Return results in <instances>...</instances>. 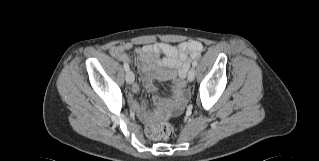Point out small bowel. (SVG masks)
I'll use <instances>...</instances> for the list:
<instances>
[{
    "label": "small bowel",
    "instance_id": "obj_1",
    "mask_svg": "<svg viewBox=\"0 0 319 161\" xmlns=\"http://www.w3.org/2000/svg\"><path fill=\"white\" fill-rule=\"evenodd\" d=\"M132 48L133 44L126 42L111 47L109 53L112 57L128 63L132 62V59L127 55L126 51ZM203 49V44L195 40L185 41L178 45L156 42L137 47V66L143 75V83L147 91L152 93L155 90L154 80L174 79L173 97L167 104L175 113H178L188 99L185 76L190 61L198 58ZM161 55L165 57L161 58ZM139 90V85L134 83L132 91L137 93ZM129 104L141 120L147 121L153 117V113L138 104L135 98L129 97ZM152 104L160 106L163 104V100L155 97Z\"/></svg>",
    "mask_w": 319,
    "mask_h": 161
}]
</instances>
